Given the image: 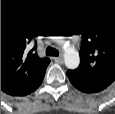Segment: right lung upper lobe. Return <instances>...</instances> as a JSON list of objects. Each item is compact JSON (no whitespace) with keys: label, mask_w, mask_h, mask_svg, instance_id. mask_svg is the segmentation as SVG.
Here are the masks:
<instances>
[{"label":"right lung upper lobe","mask_w":115,"mask_h":114,"mask_svg":"<svg viewBox=\"0 0 115 114\" xmlns=\"http://www.w3.org/2000/svg\"><path fill=\"white\" fill-rule=\"evenodd\" d=\"M32 35L22 26L1 24V90L23 96L36 90L50 63L31 48Z\"/></svg>","instance_id":"right-lung-upper-lobe-1"}]
</instances>
